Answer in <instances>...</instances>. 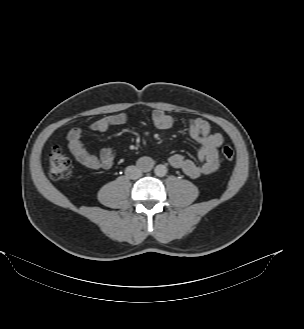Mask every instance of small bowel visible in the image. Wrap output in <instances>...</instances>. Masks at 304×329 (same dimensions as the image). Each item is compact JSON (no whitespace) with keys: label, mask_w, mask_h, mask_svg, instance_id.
Here are the masks:
<instances>
[{"label":"small bowel","mask_w":304,"mask_h":329,"mask_svg":"<svg viewBox=\"0 0 304 329\" xmlns=\"http://www.w3.org/2000/svg\"><path fill=\"white\" fill-rule=\"evenodd\" d=\"M151 119L154 126L159 129H170L176 125V120L161 110H155ZM127 122V115L117 114L93 121L89 124V129L105 132L112 126L123 125ZM187 128L189 136L199 145L198 162L180 154H174L169 158L171 166L193 179L215 172L219 167L218 150L224 142L223 136L219 133H211L209 123L202 118L190 119ZM68 141L71 154L85 168L98 171L112 166L114 151L111 148H104L98 156L90 153L82 140L80 128L70 130Z\"/></svg>","instance_id":"small-bowel-1"}]
</instances>
